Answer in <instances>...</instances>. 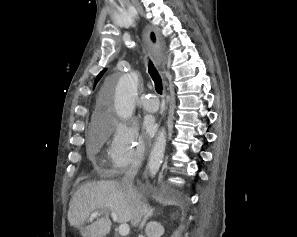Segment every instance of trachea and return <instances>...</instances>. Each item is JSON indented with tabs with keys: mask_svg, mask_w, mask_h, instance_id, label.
<instances>
[{
	"mask_svg": "<svg viewBox=\"0 0 297 237\" xmlns=\"http://www.w3.org/2000/svg\"><path fill=\"white\" fill-rule=\"evenodd\" d=\"M148 71H149V74L151 75V78L154 81L155 89L157 93L162 94V90H163L162 80L158 71L156 70V68L154 67L151 61H149Z\"/></svg>",
	"mask_w": 297,
	"mask_h": 237,
	"instance_id": "obj_1",
	"label": "trachea"
}]
</instances>
